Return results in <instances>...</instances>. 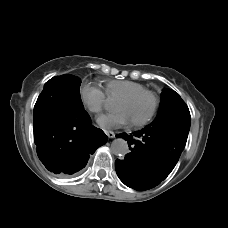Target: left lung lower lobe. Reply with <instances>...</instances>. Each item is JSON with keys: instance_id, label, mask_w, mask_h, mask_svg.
I'll use <instances>...</instances> for the list:
<instances>
[{"instance_id": "obj_1", "label": "left lung lower lobe", "mask_w": 228, "mask_h": 228, "mask_svg": "<svg viewBox=\"0 0 228 228\" xmlns=\"http://www.w3.org/2000/svg\"><path fill=\"white\" fill-rule=\"evenodd\" d=\"M187 136L183 132L155 127H144L132 135H116L127 140L131 150L123 160L115 161L120 180L136 190L155 187L176 165Z\"/></svg>"}]
</instances>
